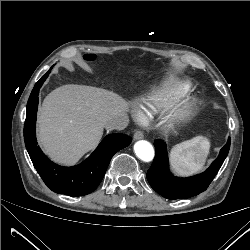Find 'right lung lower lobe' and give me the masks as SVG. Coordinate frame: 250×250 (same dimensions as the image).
<instances>
[{
    "label": "right lung lower lobe",
    "mask_w": 250,
    "mask_h": 250,
    "mask_svg": "<svg viewBox=\"0 0 250 250\" xmlns=\"http://www.w3.org/2000/svg\"><path fill=\"white\" fill-rule=\"evenodd\" d=\"M49 73L35 84L29 97L24 124L25 145L35 169L52 191L73 197L87 195L100 184L113 155L127 147L131 138L118 133L107 135L83 163L73 167H62L50 161L37 145L35 133L39 89Z\"/></svg>",
    "instance_id": "obj_1"
}]
</instances>
